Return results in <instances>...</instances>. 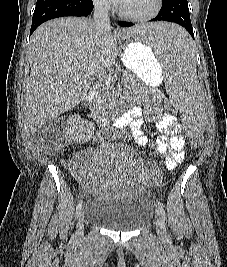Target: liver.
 <instances>
[{
    "instance_id": "6515ba94",
    "label": "liver",
    "mask_w": 227,
    "mask_h": 267,
    "mask_svg": "<svg viewBox=\"0 0 227 267\" xmlns=\"http://www.w3.org/2000/svg\"><path fill=\"white\" fill-rule=\"evenodd\" d=\"M126 33H133L131 27L99 30L91 19L77 17L54 19L35 30L26 91L31 133L84 99L95 78L115 64L116 39H126Z\"/></svg>"
}]
</instances>
